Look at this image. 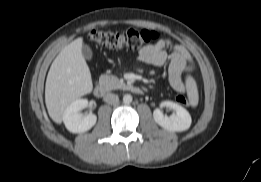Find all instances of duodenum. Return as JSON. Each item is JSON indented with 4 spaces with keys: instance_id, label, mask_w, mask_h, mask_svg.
I'll list each match as a JSON object with an SVG mask.
<instances>
[{
    "instance_id": "duodenum-1",
    "label": "duodenum",
    "mask_w": 261,
    "mask_h": 182,
    "mask_svg": "<svg viewBox=\"0 0 261 182\" xmlns=\"http://www.w3.org/2000/svg\"><path fill=\"white\" fill-rule=\"evenodd\" d=\"M127 88H128V90H130L131 92L136 93V94H142L143 93V89L141 87L137 86V85H134V84L127 85ZM105 94H106V87L101 83L97 84L94 88V95L98 98H101Z\"/></svg>"
}]
</instances>
